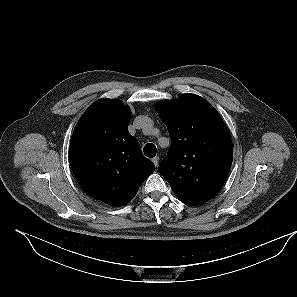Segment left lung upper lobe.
<instances>
[{"instance_id": "1", "label": "left lung upper lobe", "mask_w": 297, "mask_h": 297, "mask_svg": "<svg viewBox=\"0 0 297 297\" xmlns=\"http://www.w3.org/2000/svg\"><path fill=\"white\" fill-rule=\"evenodd\" d=\"M156 109L172 140L159 173L181 202L204 204L221 190L232 164V141L222 118L195 94L160 101Z\"/></svg>"}]
</instances>
